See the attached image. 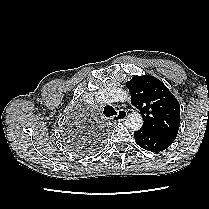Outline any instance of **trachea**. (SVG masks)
Returning <instances> with one entry per match:
<instances>
[{"label":"trachea","instance_id":"3493384b","mask_svg":"<svg viewBox=\"0 0 209 209\" xmlns=\"http://www.w3.org/2000/svg\"><path fill=\"white\" fill-rule=\"evenodd\" d=\"M103 114L106 117H110V116L116 115L117 112L115 111V109L112 106L107 105V106L104 107Z\"/></svg>","mask_w":209,"mask_h":209}]
</instances>
